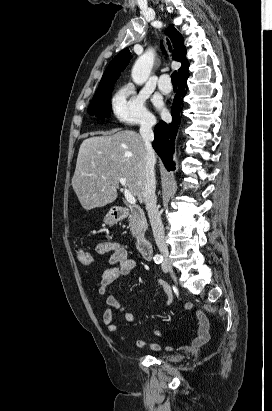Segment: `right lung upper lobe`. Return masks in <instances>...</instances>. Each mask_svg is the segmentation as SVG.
Masks as SVG:
<instances>
[{
	"mask_svg": "<svg viewBox=\"0 0 272 411\" xmlns=\"http://www.w3.org/2000/svg\"><path fill=\"white\" fill-rule=\"evenodd\" d=\"M165 32L173 42V59L182 63L179 69V79L182 77L185 78L189 76V63L186 59V48L184 46V39L182 35L174 28L173 25H170ZM131 58L132 56L128 48L122 50L117 56H115L106 68L102 76V79L99 83L98 89L114 84L120 76V73L129 64Z\"/></svg>",
	"mask_w": 272,
	"mask_h": 411,
	"instance_id": "cb5924a9",
	"label": "right lung upper lobe"
}]
</instances>
